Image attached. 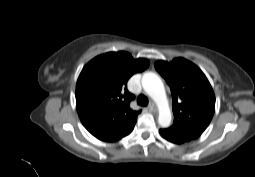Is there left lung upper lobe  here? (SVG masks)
<instances>
[{"label":"left lung upper lobe","mask_w":255,"mask_h":177,"mask_svg":"<svg viewBox=\"0 0 255 177\" xmlns=\"http://www.w3.org/2000/svg\"><path fill=\"white\" fill-rule=\"evenodd\" d=\"M155 68L172 92L174 122L165 130L185 142L198 138L215 111V95L206 76L184 58L159 60Z\"/></svg>","instance_id":"obj_1"}]
</instances>
